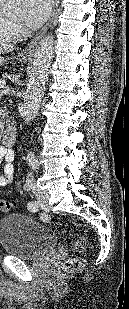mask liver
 Masks as SVG:
<instances>
[{"instance_id": "1", "label": "liver", "mask_w": 129, "mask_h": 309, "mask_svg": "<svg viewBox=\"0 0 129 309\" xmlns=\"http://www.w3.org/2000/svg\"><path fill=\"white\" fill-rule=\"evenodd\" d=\"M16 48L8 43H0V54L9 53L14 51Z\"/></svg>"}]
</instances>
